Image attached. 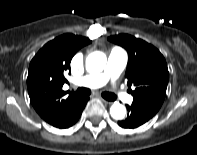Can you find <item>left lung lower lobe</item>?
I'll use <instances>...</instances> for the list:
<instances>
[{
  "label": "left lung lower lobe",
  "instance_id": "1",
  "mask_svg": "<svg viewBox=\"0 0 197 155\" xmlns=\"http://www.w3.org/2000/svg\"><path fill=\"white\" fill-rule=\"evenodd\" d=\"M126 107L128 110L127 118L118 121V125L123 128H137L152 118L150 115L146 114L144 111H142L135 105H126Z\"/></svg>",
  "mask_w": 197,
  "mask_h": 155
}]
</instances>
